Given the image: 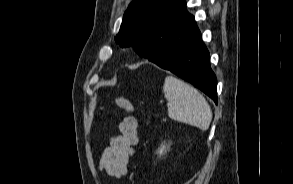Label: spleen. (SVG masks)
<instances>
[{
  "label": "spleen",
  "instance_id": "spleen-1",
  "mask_svg": "<svg viewBox=\"0 0 293 184\" xmlns=\"http://www.w3.org/2000/svg\"><path fill=\"white\" fill-rule=\"evenodd\" d=\"M163 93L169 102L168 116L178 122L196 126L205 131L212 120V111L206 99L188 83L167 76Z\"/></svg>",
  "mask_w": 293,
  "mask_h": 184
}]
</instances>
